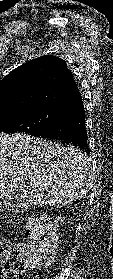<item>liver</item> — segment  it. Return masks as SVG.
<instances>
[{
    "mask_svg": "<svg viewBox=\"0 0 113 279\" xmlns=\"http://www.w3.org/2000/svg\"><path fill=\"white\" fill-rule=\"evenodd\" d=\"M91 163L81 150L24 133L0 134V198L62 206L84 198L93 184Z\"/></svg>",
    "mask_w": 113,
    "mask_h": 279,
    "instance_id": "obj_1",
    "label": "liver"
}]
</instances>
